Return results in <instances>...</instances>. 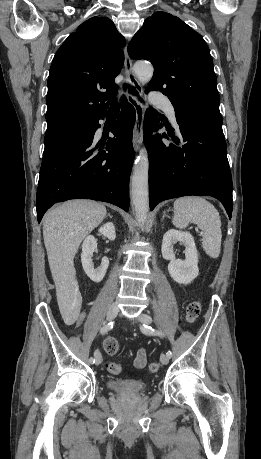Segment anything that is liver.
I'll return each mask as SVG.
<instances>
[{
  "mask_svg": "<svg viewBox=\"0 0 261 459\" xmlns=\"http://www.w3.org/2000/svg\"><path fill=\"white\" fill-rule=\"evenodd\" d=\"M106 207L91 200H70L50 210L43 220V238L61 312L74 322L80 296L74 256L84 240L106 217Z\"/></svg>",
  "mask_w": 261,
  "mask_h": 459,
  "instance_id": "obj_1",
  "label": "liver"
}]
</instances>
